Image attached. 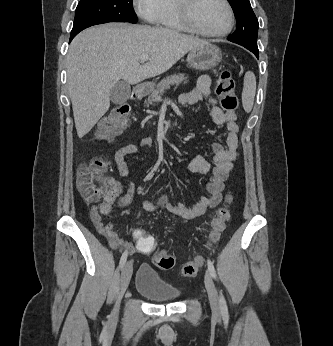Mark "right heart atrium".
I'll list each match as a JSON object with an SVG mask.
<instances>
[{
    "label": "right heart atrium",
    "mask_w": 333,
    "mask_h": 346,
    "mask_svg": "<svg viewBox=\"0 0 333 346\" xmlns=\"http://www.w3.org/2000/svg\"><path fill=\"white\" fill-rule=\"evenodd\" d=\"M137 15L148 23H157L165 0H132Z\"/></svg>",
    "instance_id": "right-heart-atrium-1"
}]
</instances>
